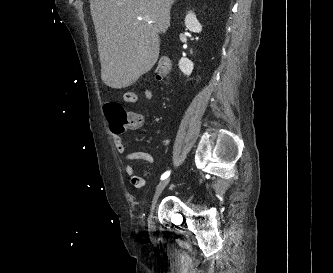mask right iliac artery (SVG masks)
<instances>
[{"label":"right iliac artery","mask_w":333,"mask_h":273,"mask_svg":"<svg viewBox=\"0 0 333 273\" xmlns=\"http://www.w3.org/2000/svg\"><path fill=\"white\" fill-rule=\"evenodd\" d=\"M169 175H170V171H166V172L161 176V180L166 179Z\"/></svg>","instance_id":"obj_1"}]
</instances>
